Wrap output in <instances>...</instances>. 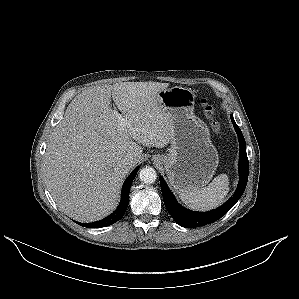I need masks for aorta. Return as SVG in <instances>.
Here are the masks:
<instances>
[{
    "mask_svg": "<svg viewBox=\"0 0 299 299\" xmlns=\"http://www.w3.org/2000/svg\"><path fill=\"white\" fill-rule=\"evenodd\" d=\"M139 178L145 184H152L157 179V173L154 168L146 166L140 170Z\"/></svg>",
    "mask_w": 299,
    "mask_h": 299,
    "instance_id": "1",
    "label": "aorta"
}]
</instances>
